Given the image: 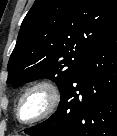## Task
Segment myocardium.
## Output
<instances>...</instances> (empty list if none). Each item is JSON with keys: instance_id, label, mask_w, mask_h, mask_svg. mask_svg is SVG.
I'll return each instance as SVG.
<instances>
[{"instance_id": "1", "label": "myocardium", "mask_w": 117, "mask_h": 136, "mask_svg": "<svg viewBox=\"0 0 117 136\" xmlns=\"http://www.w3.org/2000/svg\"><path fill=\"white\" fill-rule=\"evenodd\" d=\"M34 91H42L47 96V104L44 110L36 115L35 117L23 120L20 116V108L24 101V99ZM61 102V91L58 85L50 80H40L34 82L24 89V91L19 96L17 105H16V118L20 123L23 124H33L40 121H43L49 117H51L58 109Z\"/></svg>"}]
</instances>
